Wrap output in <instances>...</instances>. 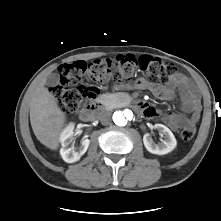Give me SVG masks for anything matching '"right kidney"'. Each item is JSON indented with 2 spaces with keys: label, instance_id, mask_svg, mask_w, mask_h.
<instances>
[{
  "label": "right kidney",
  "instance_id": "1",
  "mask_svg": "<svg viewBox=\"0 0 221 221\" xmlns=\"http://www.w3.org/2000/svg\"><path fill=\"white\" fill-rule=\"evenodd\" d=\"M74 124L70 123L61 133L60 141L62 148L60 149V154L63 160L67 163H74L78 161L83 154L88 149L90 144V140L87 138H82L81 145L78 149L74 148V146H70L73 141L74 135Z\"/></svg>",
  "mask_w": 221,
  "mask_h": 221
}]
</instances>
